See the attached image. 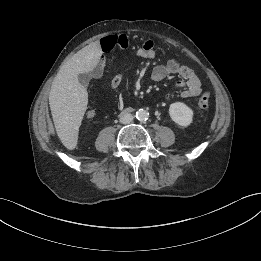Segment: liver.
I'll use <instances>...</instances> for the list:
<instances>
[{"label":"liver","mask_w":261,"mask_h":261,"mask_svg":"<svg viewBox=\"0 0 261 261\" xmlns=\"http://www.w3.org/2000/svg\"><path fill=\"white\" fill-rule=\"evenodd\" d=\"M98 41L78 51L60 69L49 93V105L56 132L67 144L74 141L88 104V93L78 81V75L89 73L101 57Z\"/></svg>","instance_id":"obj_1"}]
</instances>
